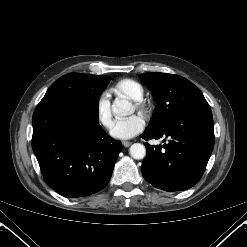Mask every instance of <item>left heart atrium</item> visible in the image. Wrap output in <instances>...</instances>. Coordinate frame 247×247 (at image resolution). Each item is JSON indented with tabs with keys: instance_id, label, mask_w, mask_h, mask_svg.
I'll list each match as a JSON object with an SVG mask.
<instances>
[{
	"instance_id": "obj_1",
	"label": "left heart atrium",
	"mask_w": 247,
	"mask_h": 247,
	"mask_svg": "<svg viewBox=\"0 0 247 247\" xmlns=\"http://www.w3.org/2000/svg\"><path fill=\"white\" fill-rule=\"evenodd\" d=\"M145 127V121L138 115L118 119L111 128V135L117 139H130L139 134Z\"/></svg>"
}]
</instances>
